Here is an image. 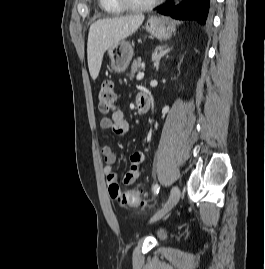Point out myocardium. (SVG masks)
<instances>
[{
	"mask_svg": "<svg viewBox=\"0 0 265 269\" xmlns=\"http://www.w3.org/2000/svg\"><path fill=\"white\" fill-rule=\"evenodd\" d=\"M116 1L127 10L142 11L156 6L162 0H149L144 3L134 2L133 0H116Z\"/></svg>",
	"mask_w": 265,
	"mask_h": 269,
	"instance_id": "1",
	"label": "myocardium"
}]
</instances>
